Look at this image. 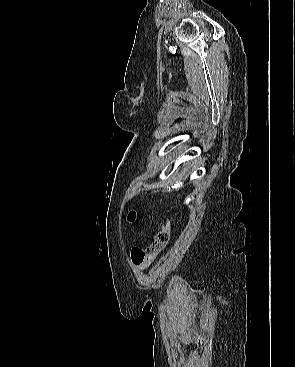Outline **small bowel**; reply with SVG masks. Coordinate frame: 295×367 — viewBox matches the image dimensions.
<instances>
[{
  "label": "small bowel",
  "mask_w": 295,
  "mask_h": 367,
  "mask_svg": "<svg viewBox=\"0 0 295 367\" xmlns=\"http://www.w3.org/2000/svg\"><path fill=\"white\" fill-rule=\"evenodd\" d=\"M137 265H138V264H137ZM148 265H149V264H139V265H138V267H139L140 269H144V268H146Z\"/></svg>",
  "instance_id": "1"
}]
</instances>
